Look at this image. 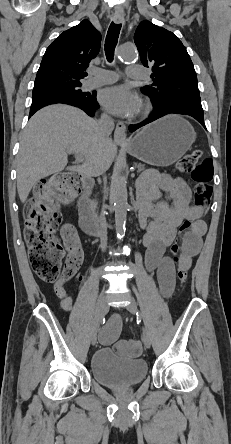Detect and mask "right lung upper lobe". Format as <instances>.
<instances>
[{
	"label": "right lung upper lobe",
	"mask_w": 231,
	"mask_h": 444,
	"mask_svg": "<svg viewBox=\"0 0 231 444\" xmlns=\"http://www.w3.org/2000/svg\"><path fill=\"white\" fill-rule=\"evenodd\" d=\"M101 34L88 21L64 31L47 48L35 79L34 89L53 84L80 83L89 62L96 57Z\"/></svg>",
	"instance_id": "1"
}]
</instances>
